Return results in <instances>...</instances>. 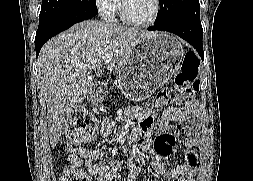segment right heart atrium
Masks as SVG:
<instances>
[{
  "label": "right heart atrium",
  "instance_id": "d8ad5b80",
  "mask_svg": "<svg viewBox=\"0 0 253 181\" xmlns=\"http://www.w3.org/2000/svg\"><path fill=\"white\" fill-rule=\"evenodd\" d=\"M98 14L105 20H112L120 8L119 0H93Z\"/></svg>",
  "mask_w": 253,
  "mask_h": 181
}]
</instances>
